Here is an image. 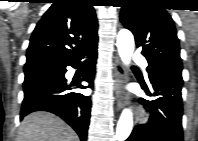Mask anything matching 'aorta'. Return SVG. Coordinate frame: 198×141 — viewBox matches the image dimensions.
<instances>
[{
  "instance_id": "1",
  "label": "aorta",
  "mask_w": 198,
  "mask_h": 141,
  "mask_svg": "<svg viewBox=\"0 0 198 141\" xmlns=\"http://www.w3.org/2000/svg\"><path fill=\"white\" fill-rule=\"evenodd\" d=\"M116 45L122 62L128 66L131 62V57L135 47L134 37L132 33L126 29L120 30L117 35ZM132 127H133L132 111L128 108H125L122 111L117 124L116 135H115L116 140L125 141L129 137L132 131Z\"/></svg>"
}]
</instances>
